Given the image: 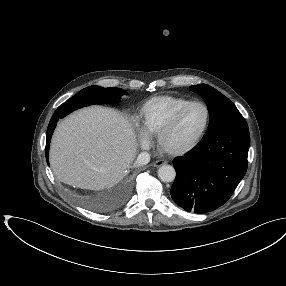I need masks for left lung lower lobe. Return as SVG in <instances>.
Here are the masks:
<instances>
[{"instance_id":"1","label":"left lung lower lobe","mask_w":286,"mask_h":286,"mask_svg":"<svg viewBox=\"0 0 286 286\" xmlns=\"http://www.w3.org/2000/svg\"><path fill=\"white\" fill-rule=\"evenodd\" d=\"M248 128L221 129L203 136L191 151L176 157L174 202L186 211L206 213L228 201L247 170Z\"/></svg>"}]
</instances>
